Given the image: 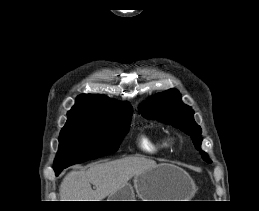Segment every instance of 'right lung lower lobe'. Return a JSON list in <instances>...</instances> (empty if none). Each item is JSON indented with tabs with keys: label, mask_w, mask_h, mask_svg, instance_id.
I'll list each match as a JSON object with an SVG mask.
<instances>
[{
	"label": "right lung lower lobe",
	"mask_w": 259,
	"mask_h": 211,
	"mask_svg": "<svg viewBox=\"0 0 259 211\" xmlns=\"http://www.w3.org/2000/svg\"><path fill=\"white\" fill-rule=\"evenodd\" d=\"M60 172H56V175H58Z\"/></svg>",
	"instance_id": "1"
}]
</instances>
